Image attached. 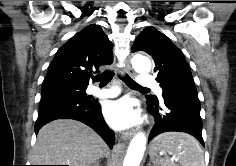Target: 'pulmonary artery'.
Here are the masks:
<instances>
[{
	"label": "pulmonary artery",
	"mask_w": 236,
	"mask_h": 166,
	"mask_svg": "<svg viewBox=\"0 0 236 166\" xmlns=\"http://www.w3.org/2000/svg\"><path fill=\"white\" fill-rule=\"evenodd\" d=\"M139 85L142 87H147V86H152L155 88L156 92L161 95L162 94V89L161 87L157 84L155 79L151 77L150 75H141L139 77ZM90 94L102 98H111L115 97L120 93V90L117 87H112L108 89H99L97 87H91L89 89Z\"/></svg>",
	"instance_id": "e3ab8cb5"
}]
</instances>
